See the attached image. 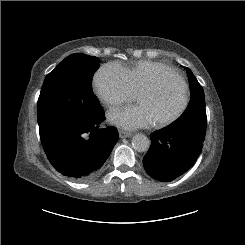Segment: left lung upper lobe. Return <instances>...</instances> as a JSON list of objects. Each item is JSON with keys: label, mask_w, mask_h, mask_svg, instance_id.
I'll use <instances>...</instances> for the list:
<instances>
[{"label": "left lung upper lobe", "mask_w": 245, "mask_h": 245, "mask_svg": "<svg viewBox=\"0 0 245 245\" xmlns=\"http://www.w3.org/2000/svg\"><path fill=\"white\" fill-rule=\"evenodd\" d=\"M190 76L191 100L181 117L165 127L172 132L190 133L204 141L206 133L205 98L202 86L189 68H185Z\"/></svg>", "instance_id": "left-lung-upper-lobe-1"}]
</instances>
